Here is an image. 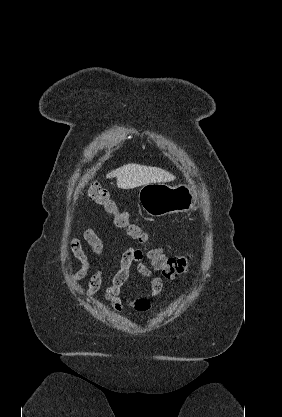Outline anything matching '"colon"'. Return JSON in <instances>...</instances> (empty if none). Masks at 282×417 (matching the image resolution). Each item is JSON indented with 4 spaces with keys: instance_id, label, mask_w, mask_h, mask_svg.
I'll return each instance as SVG.
<instances>
[{
    "instance_id": "obj_1",
    "label": "colon",
    "mask_w": 282,
    "mask_h": 417,
    "mask_svg": "<svg viewBox=\"0 0 282 417\" xmlns=\"http://www.w3.org/2000/svg\"><path fill=\"white\" fill-rule=\"evenodd\" d=\"M87 194L112 217L116 227L126 230L131 238L142 244L148 242L147 233L138 224L130 220L127 211L118 207L104 185L98 182L91 183L87 188ZM192 259L193 254L190 253L181 256H167L160 248H155L150 252L151 266L160 271L167 279H174L184 274L192 263Z\"/></svg>"
}]
</instances>
